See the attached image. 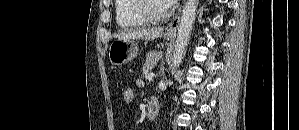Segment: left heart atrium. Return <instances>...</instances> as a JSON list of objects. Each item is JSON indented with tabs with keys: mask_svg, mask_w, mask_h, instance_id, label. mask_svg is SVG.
<instances>
[{
	"mask_svg": "<svg viewBox=\"0 0 299 130\" xmlns=\"http://www.w3.org/2000/svg\"><path fill=\"white\" fill-rule=\"evenodd\" d=\"M163 2L168 6H171L173 3H175L174 0H164Z\"/></svg>",
	"mask_w": 299,
	"mask_h": 130,
	"instance_id": "1",
	"label": "left heart atrium"
}]
</instances>
